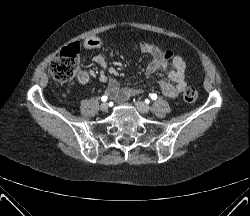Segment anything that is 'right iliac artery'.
<instances>
[{"label":"right iliac artery","mask_w":250,"mask_h":216,"mask_svg":"<svg viewBox=\"0 0 250 216\" xmlns=\"http://www.w3.org/2000/svg\"><path fill=\"white\" fill-rule=\"evenodd\" d=\"M107 99H108L107 96H102V97H101V100H102L103 102L107 101Z\"/></svg>","instance_id":"1"}]
</instances>
